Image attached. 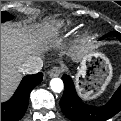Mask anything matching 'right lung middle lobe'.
Instances as JSON below:
<instances>
[{
  "label": "right lung middle lobe",
  "mask_w": 121,
  "mask_h": 121,
  "mask_svg": "<svg viewBox=\"0 0 121 121\" xmlns=\"http://www.w3.org/2000/svg\"><path fill=\"white\" fill-rule=\"evenodd\" d=\"M13 18L8 12H1V22L9 21Z\"/></svg>",
  "instance_id": "1"
}]
</instances>
